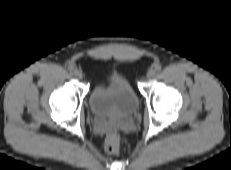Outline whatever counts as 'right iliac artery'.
<instances>
[{"mask_svg":"<svg viewBox=\"0 0 231 170\" xmlns=\"http://www.w3.org/2000/svg\"><path fill=\"white\" fill-rule=\"evenodd\" d=\"M68 70L72 72L74 70V67L72 65L68 66Z\"/></svg>","mask_w":231,"mask_h":170,"instance_id":"82829eb1","label":"right iliac artery"}]
</instances>
